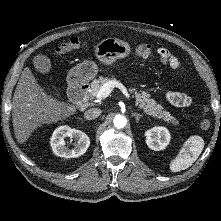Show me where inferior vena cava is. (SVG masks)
Returning <instances> with one entry per match:
<instances>
[{
    "instance_id": "1",
    "label": "inferior vena cava",
    "mask_w": 221,
    "mask_h": 221,
    "mask_svg": "<svg viewBox=\"0 0 221 221\" xmlns=\"http://www.w3.org/2000/svg\"><path fill=\"white\" fill-rule=\"evenodd\" d=\"M101 110L99 108H90L84 113V117L88 120H92L100 116Z\"/></svg>"
}]
</instances>
